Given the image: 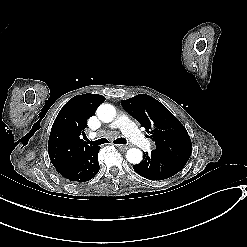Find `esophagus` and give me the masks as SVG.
Listing matches in <instances>:
<instances>
[{"label": "esophagus", "instance_id": "1", "mask_svg": "<svg viewBox=\"0 0 247 247\" xmlns=\"http://www.w3.org/2000/svg\"><path fill=\"white\" fill-rule=\"evenodd\" d=\"M117 148L120 149L121 151H125V150H127L129 147H128V146H124V145H117Z\"/></svg>", "mask_w": 247, "mask_h": 247}]
</instances>
